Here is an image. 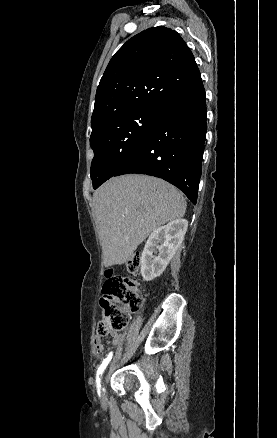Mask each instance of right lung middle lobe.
I'll return each mask as SVG.
<instances>
[{"instance_id":"dd1d6c3e","label":"right lung middle lobe","mask_w":277,"mask_h":438,"mask_svg":"<svg viewBox=\"0 0 277 438\" xmlns=\"http://www.w3.org/2000/svg\"><path fill=\"white\" fill-rule=\"evenodd\" d=\"M160 109L148 108L117 115L92 125L90 144L94 151L91 164L93 188L113 176L145 140Z\"/></svg>"}]
</instances>
